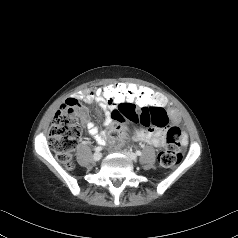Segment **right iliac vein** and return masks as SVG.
<instances>
[{
    "label": "right iliac vein",
    "instance_id": "63e3f726",
    "mask_svg": "<svg viewBox=\"0 0 238 238\" xmlns=\"http://www.w3.org/2000/svg\"><path fill=\"white\" fill-rule=\"evenodd\" d=\"M102 158V154L100 152L94 153L93 160L99 161Z\"/></svg>",
    "mask_w": 238,
    "mask_h": 238
}]
</instances>
